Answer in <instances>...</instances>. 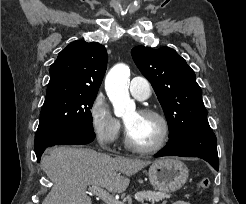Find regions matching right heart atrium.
I'll use <instances>...</instances> for the list:
<instances>
[{
    "mask_svg": "<svg viewBox=\"0 0 246 204\" xmlns=\"http://www.w3.org/2000/svg\"><path fill=\"white\" fill-rule=\"evenodd\" d=\"M90 125L96 140L102 145L113 144L121 132V123L113 115L105 98L98 94L89 110Z\"/></svg>",
    "mask_w": 246,
    "mask_h": 204,
    "instance_id": "right-heart-atrium-1",
    "label": "right heart atrium"
}]
</instances>
